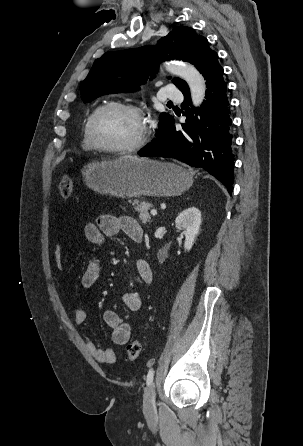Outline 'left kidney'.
Returning <instances> with one entry per match:
<instances>
[{
    "label": "left kidney",
    "mask_w": 303,
    "mask_h": 446,
    "mask_svg": "<svg viewBox=\"0 0 303 446\" xmlns=\"http://www.w3.org/2000/svg\"><path fill=\"white\" fill-rule=\"evenodd\" d=\"M175 223L177 227L183 231L185 235L184 248L189 251L194 240L199 233L201 225V212L196 207H190L183 210L176 218Z\"/></svg>",
    "instance_id": "5707ae66"
}]
</instances>
